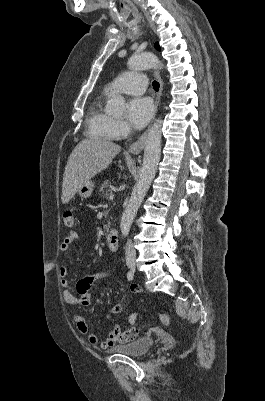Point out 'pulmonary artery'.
<instances>
[{
  "label": "pulmonary artery",
  "instance_id": "1",
  "mask_svg": "<svg viewBox=\"0 0 265 401\" xmlns=\"http://www.w3.org/2000/svg\"><path fill=\"white\" fill-rule=\"evenodd\" d=\"M118 81H113L106 86L109 93L117 91H121L123 95H141L144 93V90L139 86L144 82L142 75H134V73L129 72L127 75H120Z\"/></svg>",
  "mask_w": 265,
  "mask_h": 401
}]
</instances>
